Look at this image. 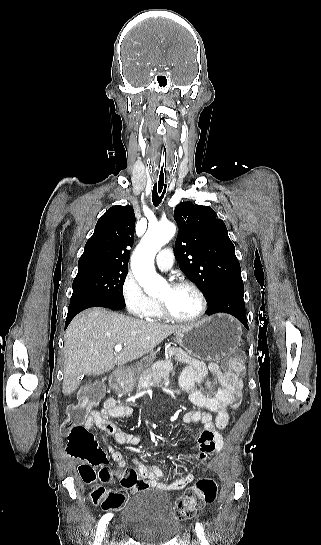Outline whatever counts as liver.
Wrapping results in <instances>:
<instances>
[{"instance_id":"liver-1","label":"liver","mask_w":321,"mask_h":545,"mask_svg":"<svg viewBox=\"0 0 321 545\" xmlns=\"http://www.w3.org/2000/svg\"><path fill=\"white\" fill-rule=\"evenodd\" d=\"M184 325L141 321L107 309H87L71 321L65 335L63 395L78 389L85 375H103L153 351ZM126 347L114 353L115 345Z\"/></svg>"}]
</instances>
